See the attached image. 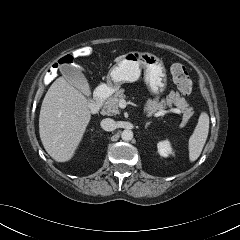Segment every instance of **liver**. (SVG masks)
Masks as SVG:
<instances>
[{
  "mask_svg": "<svg viewBox=\"0 0 240 240\" xmlns=\"http://www.w3.org/2000/svg\"><path fill=\"white\" fill-rule=\"evenodd\" d=\"M90 120L86 97L64 77L57 78L43 99L39 115V134L46 152L57 162L69 161Z\"/></svg>",
  "mask_w": 240,
  "mask_h": 240,
  "instance_id": "1",
  "label": "liver"
}]
</instances>
